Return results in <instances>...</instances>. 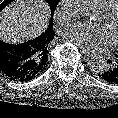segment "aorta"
<instances>
[{
  "label": "aorta",
  "mask_w": 118,
  "mask_h": 118,
  "mask_svg": "<svg viewBox=\"0 0 118 118\" xmlns=\"http://www.w3.org/2000/svg\"><path fill=\"white\" fill-rule=\"evenodd\" d=\"M71 10L72 15L82 21H89L92 16L90 5L85 0H76ZM89 64L95 73H102L107 69V62L102 56L94 57Z\"/></svg>",
  "instance_id": "aorta-1"
}]
</instances>
